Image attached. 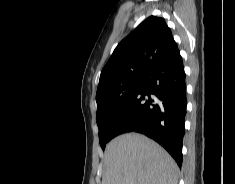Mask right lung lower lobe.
Segmentation results:
<instances>
[{
	"mask_svg": "<svg viewBox=\"0 0 235 184\" xmlns=\"http://www.w3.org/2000/svg\"><path fill=\"white\" fill-rule=\"evenodd\" d=\"M186 106L185 72L178 50L142 79L114 133L138 132L152 138L181 167Z\"/></svg>",
	"mask_w": 235,
	"mask_h": 184,
	"instance_id": "98d812e1",
	"label": "right lung lower lobe"
}]
</instances>
